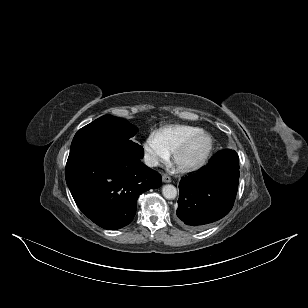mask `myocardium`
<instances>
[{"label":"myocardium","mask_w":308,"mask_h":308,"mask_svg":"<svg viewBox=\"0 0 308 308\" xmlns=\"http://www.w3.org/2000/svg\"><path fill=\"white\" fill-rule=\"evenodd\" d=\"M200 137H207L209 140L208 147L205 153L197 160L186 162L183 160V156L190 149L192 144ZM214 149V138L213 136L205 131L199 130L189 136L174 152H173V161L177 167L182 171H192L202 167L210 158Z\"/></svg>","instance_id":"1"}]
</instances>
